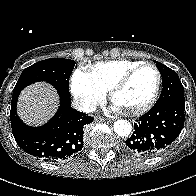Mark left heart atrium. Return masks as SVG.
<instances>
[{
    "label": "left heart atrium",
    "instance_id": "left-heart-atrium-1",
    "mask_svg": "<svg viewBox=\"0 0 196 196\" xmlns=\"http://www.w3.org/2000/svg\"><path fill=\"white\" fill-rule=\"evenodd\" d=\"M114 110L119 111L122 109V107L120 105H118L116 102H114L113 107Z\"/></svg>",
    "mask_w": 196,
    "mask_h": 196
}]
</instances>
